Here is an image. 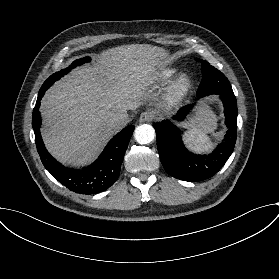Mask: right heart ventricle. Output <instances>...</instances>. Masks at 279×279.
<instances>
[{
	"label": "right heart ventricle",
	"mask_w": 279,
	"mask_h": 279,
	"mask_svg": "<svg viewBox=\"0 0 279 279\" xmlns=\"http://www.w3.org/2000/svg\"><path fill=\"white\" fill-rule=\"evenodd\" d=\"M179 73V70L175 67H163L154 72L151 82L157 86H168Z\"/></svg>",
	"instance_id": "e07e8e85"
}]
</instances>
